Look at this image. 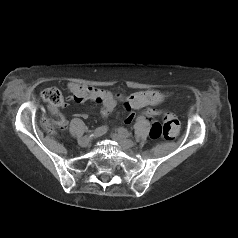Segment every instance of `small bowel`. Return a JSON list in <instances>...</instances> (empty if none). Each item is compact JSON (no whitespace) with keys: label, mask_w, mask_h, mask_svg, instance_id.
I'll list each match as a JSON object with an SVG mask.
<instances>
[{"label":"small bowel","mask_w":238,"mask_h":238,"mask_svg":"<svg viewBox=\"0 0 238 238\" xmlns=\"http://www.w3.org/2000/svg\"><path fill=\"white\" fill-rule=\"evenodd\" d=\"M69 89L71 91L70 99L77 103H82V102L90 100V101H94L101 104L102 106L101 115L103 118H107L112 113L116 105V99L109 90L83 86L78 83H70ZM164 97L165 96L163 93L156 90L135 92L131 94L128 98H126L125 106L128 111L140 110L147 106H155L161 103ZM144 111H143V114H144ZM50 112L53 115L57 116V121H56L57 125L60 128H65L67 125V120L61 116H58V112H59L58 108L51 107ZM77 116H80L82 118L87 117L86 114H78ZM133 119H134V114L129 113L125 118V123L129 124L133 121Z\"/></svg>","instance_id":"small-bowel-1"}]
</instances>
